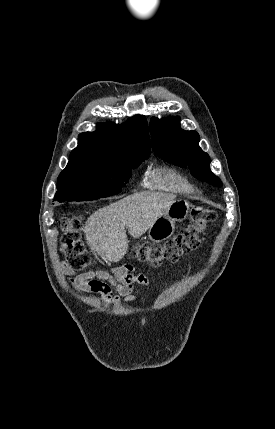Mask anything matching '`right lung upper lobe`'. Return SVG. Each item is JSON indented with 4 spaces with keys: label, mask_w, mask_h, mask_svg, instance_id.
<instances>
[{
    "label": "right lung upper lobe",
    "mask_w": 275,
    "mask_h": 429,
    "mask_svg": "<svg viewBox=\"0 0 275 429\" xmlns=\"http://www.w3.org/2000/svg\"><path fill=\"white\" fill-rule=\"evenodd\" d=\"M70 161L109 160L127 154L150 155L148 125L144 116L136 115L122 125L100 123L95 132H84Z\"/></svg>",
    "instance_id": "right-lung-upper-lobe-1"
}]
</instances>
